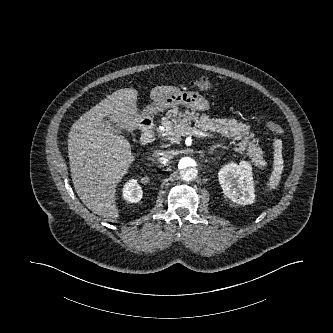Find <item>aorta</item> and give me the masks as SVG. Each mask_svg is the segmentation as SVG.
I'll return each instance as SVG.
<instances>
[{
    "mask_svg": "<svg viewBox=\"0 0 333 333\" xmlns=\"http://www.w3.org/2000/svg\"><path fill=\"white\" fill-rule=\"evenodd\" d=\"M177 171L184 181H192L198 176L196 161L188 156H180L176 160Z\"/></svg>",
    "mask_w": 333,
    "mask_h": 333,
    "instance_id": "1",
    "label": "aorta"
}]
</instances>
